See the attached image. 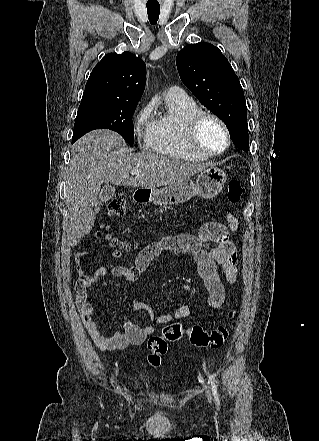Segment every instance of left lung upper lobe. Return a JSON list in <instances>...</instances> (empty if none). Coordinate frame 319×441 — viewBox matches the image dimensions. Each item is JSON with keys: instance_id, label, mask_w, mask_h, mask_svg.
Instances as JSON below:
<instances>
[{"instance_id": "1", "label": "left lung upper lobe", "mask_w": 319, "mask_h": 441, "mask_svg": "<svg viewBox=\"0 0 319 441\" xmlns=\"http://www.w3.org/2000/svg\"><path fill=\"white\" fill-rule=\"evenodd\" d=\"M182 82L227 126L236 147L248 151L247 107L243 89L220 49L209 43L189 44L176 57Z\"/></svg>"}]
</instances>
